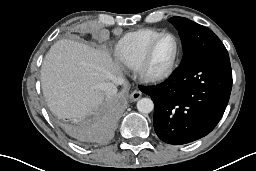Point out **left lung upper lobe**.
Listing matches in <instances>:
<instances>
[{
    "label": "left lung upper lobe",
    "instance_id": "left-lung-upper-lobe-1",
    "mask_svg": "<svg viewBox=\"0 0 256 171\" xmlns=\"http://www.w3.org/2000/svg\"><path fill=\"white\" fill-rule=\"evenodd\" d=\"M169 21L179 30L183 46L182 62L208 52L227 51L219 38L207 27L178 16L170 18Z\"/></svg>",
    "mask_w": 256,
    "mask_h": 171
}]
</instances>
